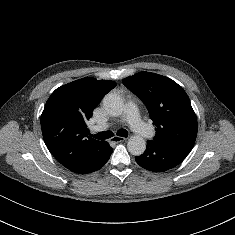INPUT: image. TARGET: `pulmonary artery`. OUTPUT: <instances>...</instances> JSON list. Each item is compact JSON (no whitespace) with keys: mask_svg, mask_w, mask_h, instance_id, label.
Segmentation results:
<instances>
[{"mask_svg":"<svg viewBox=\"0 0 235 235\" xmlns=\"http://www.w3.org/2000/svg\"><path fill=\"white\" fill-rule=\"evenodd\" d=\"M137 134L141 136H146L149 133L147 125L141 121L138 114V109L133 102H128L125 110L123 119ZM112 124H103L96 126L94 129L97 131H102L109 128Z\"/></svg>","mask_w":235,"mask_h":235,"instance_id":"pulmonary-artery-1","label":"pulmonary artery"}]
</instances>
